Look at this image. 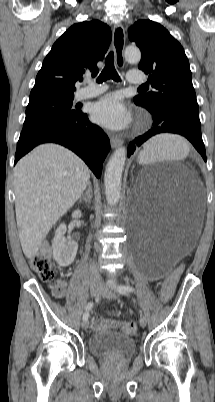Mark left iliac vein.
<instances>
[{"label":"left iliac vein","mask_w":215,"mask_h":402,"mask_svg":"<svg viewBox=\"0 0 215 402\" xmlns=\"http://www.w3.org/2000/svg\"><path fill=\"white\" fill-rule=\"evenodd\" d=\"M100 294H101L102 297H104L106 299H109V300L117 298V294L115 292L109 290L104 285L100 286ZM139 323H140V326L144 328L146 326V324H147L146 318L144 316H141L140 320H139Z\"/></svg>","instance_id":"left-iliac-vein-1"}]
</instances>
